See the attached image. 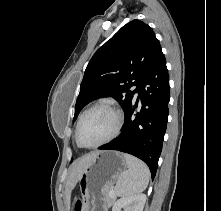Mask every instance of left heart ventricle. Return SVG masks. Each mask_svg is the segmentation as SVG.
I'll return each mask as SVG.
<instances>
[{
    "mask_svg": "<svg viewBox=\"0 0 221 211\" xmlns=\"http://www.w3.org/2000/svg\"><path fill=\"white\" fill-rule=\"evenodd\" d=\"M115 126L114 114L105 109L97 108L89 112L80 128V141L84 145L98 143L108 137Z\"/></svg>",
    "mask_w": 221,
    "mask_h": 211,
    "instance_id": "obj_1",
    "label": "left heart ventricle"
}]
</instances>
